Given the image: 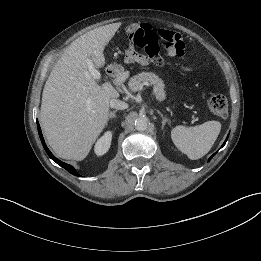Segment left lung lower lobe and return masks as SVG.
<instances>
[{
	"label": "left lung lower lobe",
	"instance_id": "0a47b994",
	"mask_svg": "<svg viewBox=\"0 0 261 261\" xmlns=\"http://www.w3.org/2000/svg\"><path fill=\"white\" fill-rule=\"evenodd\" d=\"M227 139H228V137H227ZM227 139L225 140V142H224V144H223V146L225 145V143H226V141H227ZM215 154H213L210 158H209V160L214 156Z\"/></svg>",
	"mask_w": 261,
	"mask_h": 261
}]
</instances>
